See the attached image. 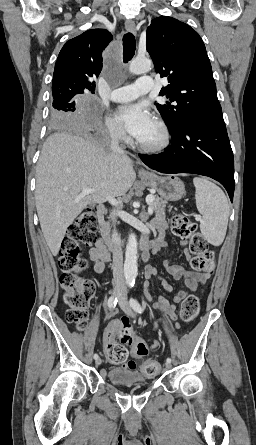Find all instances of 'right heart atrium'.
Returning a JSON list of instances; mask_svg holds the SVG:
<instances>
[{
	"label": "right heart atrium",
	"mask_w": 256,
	"mask_h": 445,
	"mask_svg": "<svg viewBox=\"0 0 256 445\" xmlns=\"http://www.w3.org/2000/svg\"><path fill=\"white\" fill-rule=\"evenodd\" d=\"M105 126L109 137L114 140L121 141L125 139V133L119 123L112 117L105 119Z\"/></svg>",
	"instance_id": "right-heart-atrium-1"
}]
</instances>
